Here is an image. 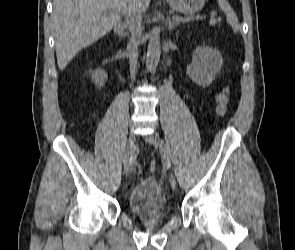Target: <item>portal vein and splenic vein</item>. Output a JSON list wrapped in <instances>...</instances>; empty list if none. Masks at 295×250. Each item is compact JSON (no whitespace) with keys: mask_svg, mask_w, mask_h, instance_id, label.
<instances>
[{"mask_svg":"<svg viewBox=\"0 0 295 250\" xmlns=\"http://www.w3.org/2000/svg\"><path fill=\"white\" fill-rule=\"evenodd\" d=\"M173 19H175V20H180V21H183V22H186V21H188V20H182V19H179L178 17H173Z\"/></svg>","mask_w":295,"mask_h":250,"instance_id":"1","label":"portal vein and splenic vein"}]
</instances>
